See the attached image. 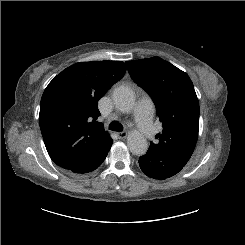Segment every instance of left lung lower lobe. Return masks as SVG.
Returning <instances> with one entry per match:
<instances>
[{"mask_svg": "<svg viewBox=\"0 0 245 245\" xmlns=\"http://www.w3.org/2000/svg\"><path fill=\"white\" fill-rule=\"evenodd\" d=\"M139 165L144 174L158 180L174 176L184 167L168 155L152 149L139 158Z\"/></svg>", "mask_w": 245, "mask_h": 245, "instance_id": "left-lung-lower-lobe-1", "label": "left lung lower lobe"}]
</instances>
